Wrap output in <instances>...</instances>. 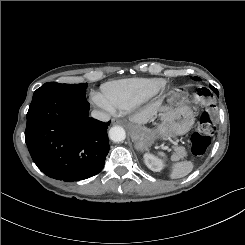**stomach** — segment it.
Returning <instances> with one entry per match:
<instances>
[{
    "mask_svg": "<svg viewBox=\"0 0 245 245\" xmlns=\"http://www.w3.org/2000/svg\"><path fill=\"white\" fill-rule=\"evenodd\" d=\"M181 100L182 93L179 90L173 92L169 98L171 103H179ZM157 111L161 123L156 129L131 125V137L139 150L147 149L159 138L166 139L186 134L194 124V115L188 106L179 105L175 108L160 106Z\"/></svg>",
    "mask_w": 245,
    "mask_h": 245,
    "instance_id": "0dacf381",
    "label": "stomach"
}]
</instances>
